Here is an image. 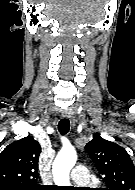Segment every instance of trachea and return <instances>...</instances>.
Instances as JSON below:
<instances>
[{
  "instance_id": "trachea-1",
  "label": "trachea",
  "mask_w": 135,
  "mask_h": 190,
  "mask_svg": "<svg viewBox=\"0 0 135 190\" xmlns=\"http://www.w3.org/2000/svg\"><path fill=\"white\" fill-rule=\"evenodd\" d=\"M70 121L69 119H61L58 124V130L61 135H65L69 132Z\"/></svg>"
}]
</instances>
